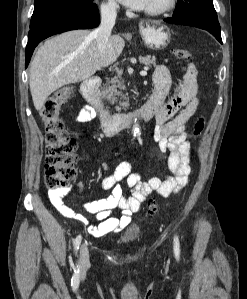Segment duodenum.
Here are the masks:
<instances>
[{
	"mask_svg": "<svg viewBox=\"0 0 247 299\" xmlns=\"http://www.w3.org/2000/svg\"><path fill=\"white\" fill-rule=\"evenodd\" d=\"M100 82L98 77L85 80L81 85V94L86 102L98 112L101 128L107 136L116 134L135 121L147 122L155 116L156 107L150 101L133 112L109 113L98 94Z\"/></svg>",
	"mask_w": 247,
	"mask_h": 299,
	"instance_id": "duodenum-1",
	"label": "duodenum"
}]
</instances>
